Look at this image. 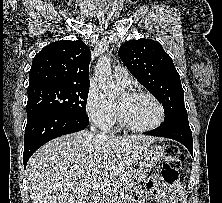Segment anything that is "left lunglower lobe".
I'll return each instance as SVG.
<instances>
[{
  "mask_svg": "<svg viewBox=\"0 0 222 203\" xmlns=\"http://www.w3.org/2000/svg\"><path fill=\"white\" fill-rule=\"evenodd\" d=\"M143 134L170 138L182 143L193 156V140L189 122L175 121L163 124L158 128Z\"/></svg>",
  "mask_w": 222,
  "mask_h": 203,
  "instance_id": "obj_1",
  "label": "left lung lower lobe"
}]
</instances>
